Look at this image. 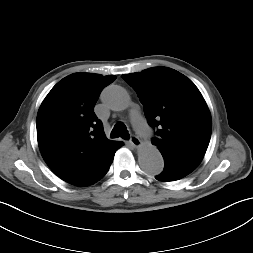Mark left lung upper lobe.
I'll return each instance as SVG.
<instances>
[{
  "label": "left lung upper lobe",
  "mask_w": 253,
  "mask_h": 253,
  "mask_svg": "<svg viewBox=\"0 0 253 253\" xmlns=\"http://www.w3.org/2000/svg\"><path fill=\"white\" fill-rule=\"evenodd\" d=\"M122 78L135 89L149 125L156 128L151 142L163 158L199 165L210 141L212 121L194 83L167 67L124 74Z\"/></svg>",
  "instance_id": "left-lung-upper-lobe-1"
}]
</instances>
